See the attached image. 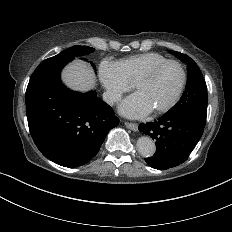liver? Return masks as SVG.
I'll list each match as a JSON object with an SVG mask.
<instances>
[{
    "label": "liver",
    "mask_w": 232,
    "mask_h": 232,
    "mask_svg": "<svg viewBox=\"0 0 232 232\" xmlns=\"http://www.w3.org/2000/svg\"><path fill=\"white\" fill-rule=\"evenodd\" d=\"M64 78L70 85L79 88H88L93 81L91 70L81 62L68 67L64 73Z\"/></svg>",
    "instance_id": "obj_1"
}]
</instances>
